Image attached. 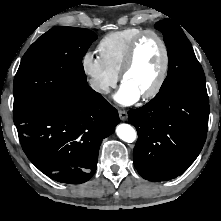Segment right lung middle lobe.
<instances>
[{
	"mask_svg": "<svg viewBox=\"0 0 221 221\" xmlns=\"http://www.w3.org/2000/svg\"><path fill=\"white\" fill-rule=\"evenodd\" d=\"M97 35L87 29L57 26L24 54L13 85L14 117L85 88L82 58Z\"/></svg>",
	"mask_w": 221,
	"mask_h": 221,
	"instance_id": "right-lung-middle-lobe-1",
	"label": "right lung middle lobe"
}]
</instances>
